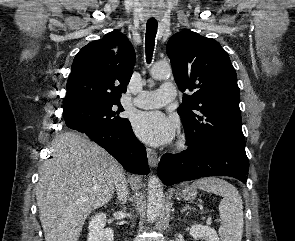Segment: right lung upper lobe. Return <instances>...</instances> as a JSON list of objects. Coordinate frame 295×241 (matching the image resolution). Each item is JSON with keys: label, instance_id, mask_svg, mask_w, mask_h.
Returning <instances> with one entry per match:
<instances>
[{"label": "right lung upper lobe", "instance_id": "1", "mask_svg": "<svg viewBox=\"0 0 295 241\" xmlns=\"http://www.w3.org/2000/svg\"><path fill=\"white\" fill-rule=\"evenodd\" d=\"M134 64L135 52L124 34L113 31L90 42L74 58L63 111L88 104L120 102Z\"/></svg>", "mask_w": 295, "mask_h": 241}]
</instances>
